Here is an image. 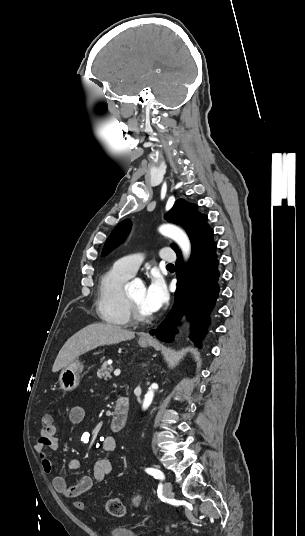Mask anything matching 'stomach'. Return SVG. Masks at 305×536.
<instances>
[{
  "instance_id": "stomach-1",
  "label": "stomach",
  "mask_w": 305,
  "mask_h": 536,
  "mask_svg": "<svg viewBox=\"0 0 305 536\" xmlns=\"http://www.w3.org/2000/svg\"><path fill=\"white\" fill-rule=\"evenodd\" d=\"M148 344L149 340H139V346H142V348H146ZM83 368L84 366H82L79 360H74V362H70L66 368H63L58 380L61 390H64V392L75 390V388L79 386L81 380L80 374H82Z\"/></svg>"
}]
</instances>
